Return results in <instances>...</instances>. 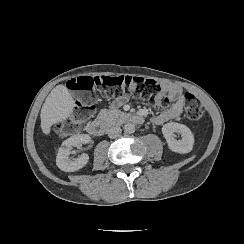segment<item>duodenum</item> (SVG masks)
Listing matches in <instances>:
<instances>
[{
  "mask_svg": "<svg viewBox=\"0 0 244 244\" xmlns=\"http://www.w3.org/2000/svg\"><path fill=\"white\" fill-rule=\"evenodd\" d=\"M145 121L142 114L139 113H124L117 117H107L101 120H95L88 124L87 131L89 134L101 137L105 135L118 123H136L141 124Z\"/></svg>",
  "mask_w": 244,
  "mask_h": 244,
  "instance_id": "1",
  "label": "duodenum"
}]
</instances>
